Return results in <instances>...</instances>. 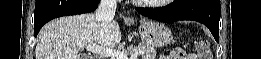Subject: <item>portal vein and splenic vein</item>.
I'll list each match as a JSON object with an SVG mask.
<instances>
[{
	"label": "portal vein and splenic vein",
	"instance_id": "obj_1",
	"mask_svg": "<svg viewBox=\"0 0 261 59\" xmlns=\"http://www.w3.org/2000/svg\"><path fill=\"white\" fill-rule=\"evenodd\" d=\"M86 50L110 59H128L127 55L121 51L98 46L96 44L87 45ZM143 54H144L143 51L136 52L130 57V59H137L138 55H143Z\"/></svg>",
	"mask_w": 261,
	"mask_h": 59
}]
</instances>
